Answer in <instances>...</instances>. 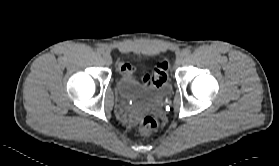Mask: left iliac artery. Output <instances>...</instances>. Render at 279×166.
Listing matches in <instances>:
<instances>
[{
	"mask_svg": "<svg viewBox=\"0 0 279 166\" xmlns=\"http://www.w3.org/2000/svg\"><path fill=\"white\" fill-rule=\"evenodd\" d=\"M190 53H191V51H190V49H188V48H186V49H184V50L182 51V54H183L184 56H188V55H190Z\"/></svg>",
	"mask_w": 279,
	"mask_h": 166,
	"instance_id": "left-iliac-artery-1",
	"label": "left iliac artery"
}]
</instances>
